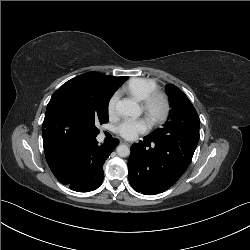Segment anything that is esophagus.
<instances>
[{
  "label": "esophagus",
  "mask_w": 250,
  "mask_h": 250,
  "mask_svg": "<svg viewBox=\"0 0 250 250\" xmlns=\"http://www.w3.org/2000/svg\"><path fill=\"white\" fill-rule=\"evenodd\" d=\"M123 143H125V144H127V145H130V143H128V142H126V141H124Z\"/></svg>",
  "instance_id": "34e87169"
}]
</instances>
